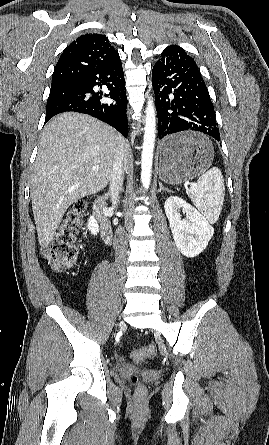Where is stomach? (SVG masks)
Returning a JSON list of instances; mask_svg holds the SVG:
<instances>
[{
	"label": "stomach",
	"instance_id": "stomach-1",
	"mask_svg": "<svg viewBox=\"0 0 269 445\" xmlns=\"http://www.w3.org/2000/svg\"><path fill=\"white\" fill-rule=\"evenodd\" d=\"M175 143L180 148L176 154L167 155L163 148ZM159 178L168 184H181L191 180L211 165L214 157L212 143L200 134L183 132L166 137L159 149Z\"/></svg>",
	"mask_w": 269,
	"mask_h": 445
}]
</instances>
